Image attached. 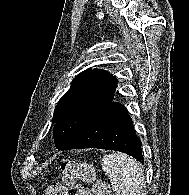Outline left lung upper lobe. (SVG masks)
<instances>
[{
  "label": "left lung upper lobe",
  "mask_w": 189,
  "mask_h": 195,
  "mask_svg": "<svg viewBox=\"0 0 189 195\" xmlns=\"http://www.w3.org/2000/svg\"><path fill=\"white\" fill-rule=\"evenodd\" d=\"M118 80L103 69L89 68L73 79L53 115L55 146L63 143L81 124L110 101Z\"/></svg>",
  "instance_id": "1"
}]
</instances>
